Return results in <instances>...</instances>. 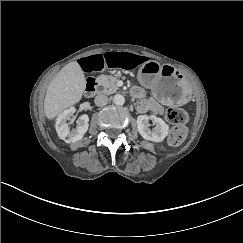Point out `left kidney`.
I'll return each instance as SVG.
<instances>
[{
    "mask_svg": "<svg viewBox=\"0 0 243 243\" xmlns=\"http://www.w3.org/2000/svg\"><path fill=\"white\" fill-rule=\"evenodd\" d=\"M149 119L156 123V127L153 130H150L148 127ZM137 129L144 139L153 142H162L168 135L169 126L161 118L154 115H139L137 117Z\"/></svg>",
    "mask_w": 243,
    "mask_h": 243,
    "instance_id": "1",
    "label": "left kidney"
}]
</instances>
